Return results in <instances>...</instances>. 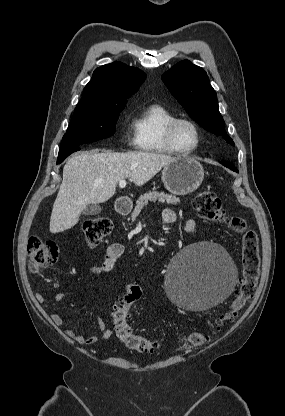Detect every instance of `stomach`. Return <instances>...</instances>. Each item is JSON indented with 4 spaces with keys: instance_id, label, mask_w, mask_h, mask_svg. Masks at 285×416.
I'll return each instance as SVG.
<instances>
[{
    "instance_id": "0dacf381",
    "label": "stomach",
    "mask_w": 285,
    "mask_h": 416,
    "mask_svg": "<svg viewBox=\"0 0 285 416\" xmlns=\"http://www.w3.org/2000/svg\"><path fill=\"white\" fill-rule=\"evenodd\" d=\"M204 178L203 166L197 160L182 156L164 166L162 182L171 194L185 196L199 188Z\"/></svg>"
}]
</instances>
